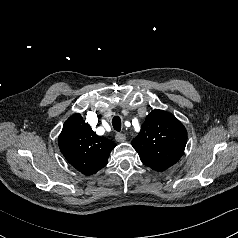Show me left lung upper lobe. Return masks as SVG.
Returning a JSON list of instances; mask_svg holds the SVG:
<instances>
[{
    "instance_id": "left-lung-upper-lobe-1",
    "label": "left lung upper lobe",
    "mask_w": 238,
    "mask_h": 238,
    "mask_svg": "<svg viewBox=\"0 0 238 238\" xmlns=\"http://www.w3.org/2000/svg\"><path fill=\"white\" fill-rule=\"evenodd\" d=\"M186 142L187 131L183 124L168 112L154 110L131 144L145 165L164 171L181 158Z\"/></svg>"
}]
</instances>
